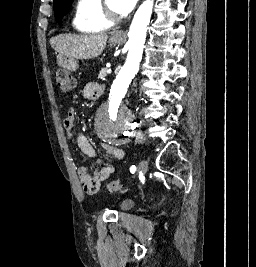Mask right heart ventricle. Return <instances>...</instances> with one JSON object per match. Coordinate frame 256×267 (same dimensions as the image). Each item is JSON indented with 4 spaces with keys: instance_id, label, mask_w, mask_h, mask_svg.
Wrapping results in <instances>:
<instances>
[{
    "instance_id": "1",
    "label": "right heart ventricle",
    "mask_w": 256,
    "mask_h": 267,
    "mask_svg": "<svg viewBox=\"0 0 256 267\" xmlns=\"http://www.w3.org/2000/svg\"><path fill=\"white\" fill-rule=\"evenodd\" d=\"M80 2L85 15L81 22L75 20V29L83 36H105L102 25L104 0H81Z\"/></svg>"
}]
</instances>
